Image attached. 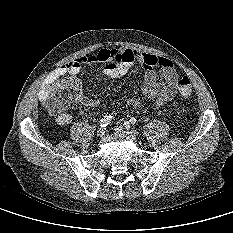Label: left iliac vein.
Listing matches in <instances>:
<instances>
[{"instance_id":"4c4485c4","label":"left iliac vein","mask_w":233,"mask_h":233,"mask_svg":"<svg viewBox=\"0 0 233 233\" xmlns=\"http://www.w3.org/2000/svg\"><path fill=\"white\" fill-rule=\"evenodd\" d=\"M116 132L118 133V134H120V135H124L125 134V129H124V127L123 126H117L116 127ZM131 134L133 135V136H136L137 135V131L135 130V129H131Z\"/></svg>"}]
</instances>
